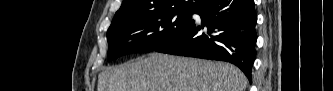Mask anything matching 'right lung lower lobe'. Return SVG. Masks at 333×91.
<instances>
[{"label":"right lung lower lobe","instance_id":"obj_1","mask_svg":"<svg viewBox=\"0 0 333 91\" xmlns=\"http://www.w3.org/2000/svg\"><path fill=\"white\" fill-rule=\"evenodd\" d=\"M195 13L201 25L191 20L154 51L231 62L251 81L257 41L254 0H208Z\"/></svg>","mask_w":333,"mask_h":91}]
</instances>
